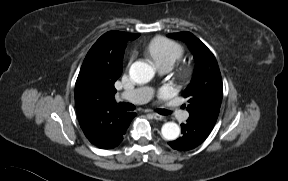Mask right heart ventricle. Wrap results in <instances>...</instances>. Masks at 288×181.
Returning a JSON list of instances; mask_svg holds the SVG:
<instances>
[{"instance_id": "obj_1", "label": "right heart ventricle", "mask_w": 288, "mask_h": 181, "mask_svg": "<svg viewBox=\"0 0 288 181\" xmlns=\"http://www.w3.org/2000/svg\"><path fill=\"white\" fill-rule=\"evenodd\" d=\"M147 54L153 59L156 66L169 64L173 66L184 54L183 47L165 37H156L146 48Z\"/></svg>"}]
</instances>
